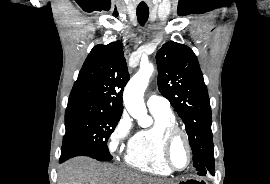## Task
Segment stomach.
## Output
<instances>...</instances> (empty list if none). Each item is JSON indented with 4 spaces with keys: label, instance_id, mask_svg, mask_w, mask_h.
<instances>
[{
    "label": "stomach",
    "instance_id": "stomach-1",
    "mask_svg": "<svg viewBox=\"0 0 270 184\" xmlns=\"http://www.w3.org/2000/svg\"><path fill=\"white\" fill-rule=\"evenodd\" d=\"M176 184H207V182L202 178H186L178 181Z\"/></svg>",
    "mask_w": 270,
    "mask_h": 184
}]
</instances>
